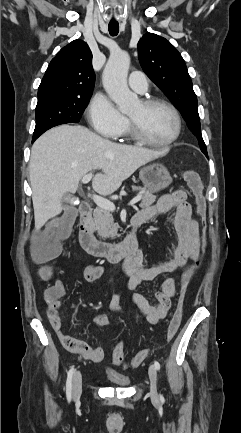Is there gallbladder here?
Returning a JSON list of instances; mask_svg holds the SVG:
<instances>
[{
    "mask_svg": "<svg viewBox=\"0 0 241 433\" xmlns=\"http://www.w3.org/2000/svg\"><path fill=\"white\" fill-rule=\"evenodd\" d=\"M62 200L65 202H70L73 200V198L70 194L66 193L63 195ZM65 209L67 214L71 213L73 217L77 215V209L73 206H65Z\"/></svg>",
    "mask_w": 241,
    "mask_h": 433,
    "instance_id": "1",
    "label": "gallbladder"
}]
</instances>
